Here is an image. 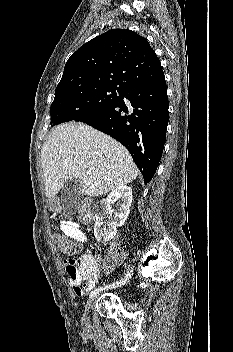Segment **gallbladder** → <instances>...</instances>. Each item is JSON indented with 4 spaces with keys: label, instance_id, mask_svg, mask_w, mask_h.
Instances as JSON below:
<instances>
[{
    "label": "gallbladder",
    "instance_id": "obj_1",
    "mask_svg": "<svg viewBox=\"0 0 233 352\" xmlns=\"http://www.w3.org/2000/svg\"><path fill=\"white\" fill-rule=\"evenodd\" d=\"M61 206L67 213L78 210L82 200L81 184L79 179H69L65 182L60 193Z\"/></svg>",
    "mask_w": 233,
    "mask_h": 352
}]
</instances>
